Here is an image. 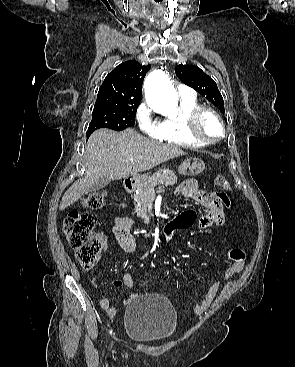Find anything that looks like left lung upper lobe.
Masks as SVG:
<instances>
[{
  "label": "left lung upper lobe",
  "mask_w": 295,
  "mask_h": 367,
  "mask_svg": "<svg viewBox=\"0 0 295 367\" xmlns=\"http://www.w3.org/2000/svg\"><path fill=\"white\" fill-rule=\"evenodd\" d=\"M176 75L186 85L195 89L202 96L206 97L214 106L218 107L222 113L224 101L213 79L194 65H178L175 69Z\"/></svg>",
  "instance_id": "obj_1"
}]
</instances>
